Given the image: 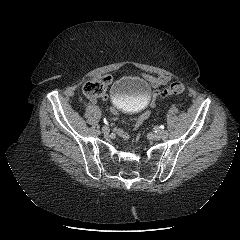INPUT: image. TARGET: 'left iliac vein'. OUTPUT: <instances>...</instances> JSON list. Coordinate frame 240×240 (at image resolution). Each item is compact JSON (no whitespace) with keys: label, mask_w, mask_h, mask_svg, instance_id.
<instances>
[{"label":"left iliac vein","mask_w":240,"mask_h":240,"mask_svg":"<svg viewBox=\"0 0 240 240\" xmlns=\"http://www.w3.org/2000/svg\"><path fill=\"white\" fill-rule=\"evenodd\" d=\"M160 132H161V131H159V132H157V133H155V134H152V138H153L154 140H164V139L167 137L168 133H166L165 136H162Z\"/></svg>","instance_id":"left-iliac-vein-1"}]
</instances>
